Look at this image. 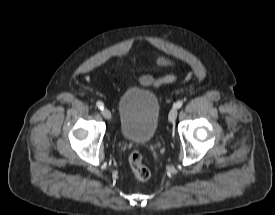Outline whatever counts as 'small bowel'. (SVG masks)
<instances>
[{
    "mask_svg": "<svg viewBox=\"0 0 275 215\" xmlns=\"http://www.w3.org/2000/svg\"><path fill=\"white\" fill-rule=\"evenodd\" d=\"M155 65L159 68H174L177 66L176 62L170 58L161 57L155 60ZM176 79L174 75H167L160 79H154L151 74H145L140 77L139 84L143 87H157L164 83L172 82Z\"/></svg>",
    "mask_w": 275,
    "mask_h": 215,
    "instance_id": "1",
    "label": "small bowel"
}]
</instances>
